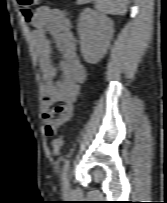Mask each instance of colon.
Wrapping results in <instances>:
<instances>
[{"label": "colon", "mask_w": 167, "mask_h": 203, "mask_svg": "<svg viewBox=\"0 0 167 203\" xmlns=\"http://www.w3.org/2000/svg\"><path fill=\"white\" fill-rule=\"evenodd\" d=\"M41 0H17V4L23 11V14L27 21L30 20V9L40 3ZM63 146V137L60 135L54 139L51 146V152L54 156H58L61 153Z\"/></svg>", "instance_id": "5ec220e1"}]
</instances>
